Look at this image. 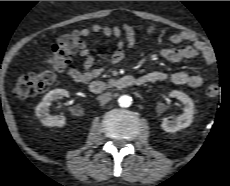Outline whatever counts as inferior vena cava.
<instances>
[{
	"instance_id": "inferior-vena-cava-1",
	"label": "inferior vena cava",
	"mask_w": 230,
	"mask_h": 186,
	"mask_svg": "<svg viewBox=\"0 0 230 186\" xmlns=\"http://www.w3.org/2000/svg\"><path fill=\"white\" fill-rule=\"evenodd\" d=\"M112 99V94L110 92H105L98 96V100L102 103H107Z\"/></svg>"
}]
</instances>
